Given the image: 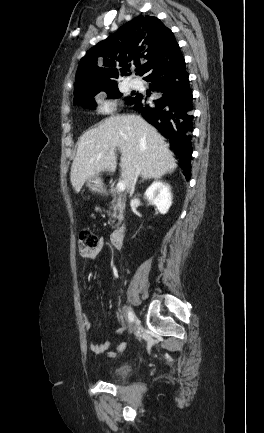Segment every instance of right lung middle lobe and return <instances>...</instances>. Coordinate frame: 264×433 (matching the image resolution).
Returning <instances> with one entry per match:
<instances>
[{"label":"right lung middle lobe","instance_id":"dd1d6c3e","mask_svg":"<svg viewBox=\"0 0 264 433\" xmlns=\"http://www.w3.org/2000/svg\"><path fill=\"white\" fill-rule=\"evenodd\" d=\"M105 92L107 93V98H121V97H123V94L120 93V91H119V89H118L117 86L113 87V88H110L108 90H105ZM96 94H98V93H93V94H90V95H88L87 97H85L83 99H80L78 101H74V104L75 105L76 104H80L83 107L90 108V109H95L96 102H95V100H94L93 97ZM133 98H134V96H127V97H125L126 103L129 104Z\"/></svg>","mask_w":264,"mask_h":433}]
</instances>
